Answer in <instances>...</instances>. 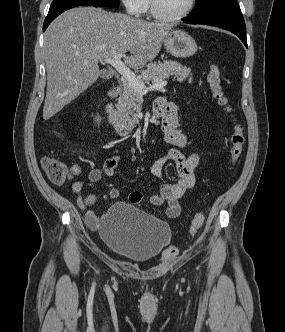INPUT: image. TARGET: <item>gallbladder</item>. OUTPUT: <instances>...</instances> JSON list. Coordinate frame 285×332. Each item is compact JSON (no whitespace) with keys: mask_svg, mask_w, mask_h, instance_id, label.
<instances>
[{"mask_svg":"<svg viewBox=\"0 0 285 332\" xmlns=\"http://www.w3.org/2000/svg\"><path fill=\"white\" fill-rule=\"evenodd\" d=\"M100 76H101V78H103V79H109V78L111 77V73H109V72L106 71V70H102V71L100 72Z\"/></svg>","mask_w":285,"mask_h":332,"instance_id":"bac80fb5","label":"gallbladder"}]
</instances>
